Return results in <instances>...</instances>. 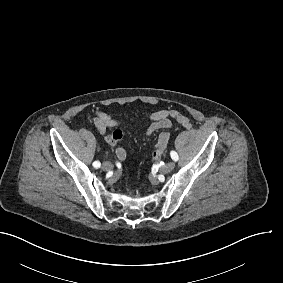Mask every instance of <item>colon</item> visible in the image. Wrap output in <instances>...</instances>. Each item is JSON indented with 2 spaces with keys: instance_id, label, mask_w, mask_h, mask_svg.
Returning a JSON list of instances; mask_svg holds the SVG:
<instances>
[{
  "instance_id": "colon-1",
  "label": "colon",
  "mask_w": 283,
  "mask_h": 283,
  "mask_svg": "<svg viewBox=\"0 0 283 283\" xmlns=\"http://www.w3.org/2000/svg\"><path fill=\"white\" fill-rule=\"evenodd\" d=\"M169 140V135L167 133L161 132L160 137L158 138L153 151H152V160L154 162H158L165 151L166 143Z\"/></svg>"
}]
</instances>
